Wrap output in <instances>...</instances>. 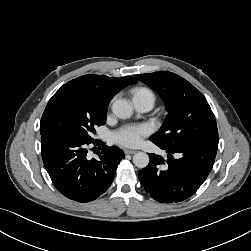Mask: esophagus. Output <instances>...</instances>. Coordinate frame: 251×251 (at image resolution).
I'll return each instance as SVG.
<instances>
[{
	"label": "esophagus",
	"instance_id": "34e87169",
	"mask_svg": "<svg viewBox=\"0 0 251 251\" xmlns=\"http://www.w3.org/2000/svg\"><path fill=\"white\" fill-rule=\"evenodd\" d=\"M124 152L125 154H135L137 151L132 149H125Z\"/></svg>",
	"mask_w": 251,
	"mask_h": 251
}]
</instances>
